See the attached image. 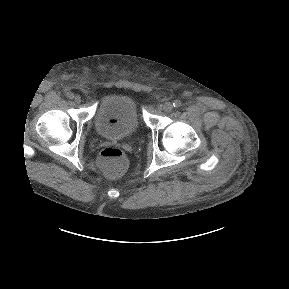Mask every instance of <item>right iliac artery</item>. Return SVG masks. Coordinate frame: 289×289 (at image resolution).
Instances as JSON below:
<instances>
[{
	"mask_svg": "<svg viewBox=\"0 0 289 289\" xmlns=\"http://www.w3.org/2000/svg\"><path fill=\"white\" fill-rule=\"evenodd\" d=\"M66 95H67V97L69 99H73L74 98V94L72 92H68Z\"/></svg>",
	"mask_w": 289,
	"mask_h": 289,
	"instance_id": "82829eb1",
	"label": "right iliac artery"
}]
</instances>
